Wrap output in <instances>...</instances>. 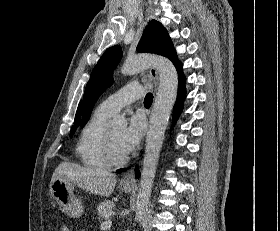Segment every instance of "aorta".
<instances>
[{
	"instance_id": "762f6f07",
	"label": "aorta",
	"mask_w": 280,
	"mask_h": 231,
	"mask_svg": "<svg viewBox=\"0 0 280 231\" xmlns=\"http://www.w3.org/2000/svg\"><path fill=\"white\" fill-rule=\"evenodd\" d=\"M147 68L157 70L159 86L146 135L140 187L136 201V219H139L148 207L166 127L175 104L178 88L176 68L168 58H163V56L143 54V56H136L134 60H125L121 74L134 76ZM109 123L112 127L127 125V119L125 116H115L110 119Z\"/></svg>"
}]
</instances>
